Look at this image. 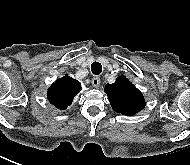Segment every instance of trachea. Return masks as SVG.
Masks as SVG:
<instances>
[{"mask_svg":"<svg viewBox=\"0 0 190 165\" xmlns=\"http://www.w3.org/2000/svg\"><path fill=\"white\" fill-rule=\"evenodd\" d=\"M91 71L95 75H99L102 72V65L99 62H93L91 65Z\"/></svg>","mask_w":190,"mask_h":165,"instance_id":"trachea-1","label":"trachea"}]
</instances>
